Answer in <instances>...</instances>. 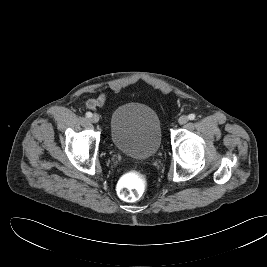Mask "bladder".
<instances>
[{"label": "bladder", "instance_id": "31cf9c89", "mask_svg": "<svg viewBox=\"0 0 267 267\" xmlns=\"http://www.w3.org/2000/svg\"><path fill=\"white\" fill-rule=\"evenodd\" d=\"M109 135L113 146L121 153L137 159H149L161 147V122L148 105L127 102L113 111Z\"/></svg>", "mask_w": 267, "mask_h": 267}]
</instances>
